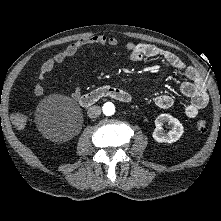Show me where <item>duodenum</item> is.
I'll return each instance as SVG.
<instances>
[{"label": "duodenum", "instance_id": "410a0bca", "mask_svg": "<svg viewBox=\"0 0 221 221\" xmlns=\"http://www.w3.org/2000/svg\"><path fill=\"white\" fill-rule=\"evenodd\" d=\"M105 97L122 103H129L131 101V95L127 91L118 87L103 86L81 95L79 103L83 107H89Z\"/></svg>", "mask_w": 221, "mask_h": 221}]
</instances>
